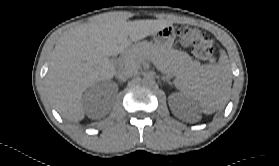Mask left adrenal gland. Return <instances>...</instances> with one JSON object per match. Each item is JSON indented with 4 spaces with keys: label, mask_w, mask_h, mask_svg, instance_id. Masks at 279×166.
<instances>
[{
    "label": "left adrenal gland",
    "mask_w": 279,
    "mask_h": 166,
    "mask_svg": "<svg viewBox=\"0 0 279 166\" xmlns=\"http://www.w3.org/2000/svg\"><path fill=\"white\" fill-rule=\"evenodd\" d=\"M164 81H167V83H170V81H169V79H168V77L166 76H164L163 78H162Z\"/></svg>",
    "instance_id": "a2214340"
}]
</instances>
